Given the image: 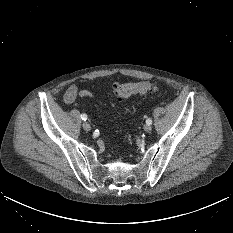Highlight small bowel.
Instances as JSON below:
<instances>
[{
    "mask_svg": "<svg viewBox=\"0 0 233 233\" xmlns=\"http://www.w3.org/2000/svg\"><path fill=\"white\" fill-rule=\"evenodd\" d=\"M90 97L92 93L89 90H80L77 85H71L64 95V100L66 103H74L78 99Z\"/></svg>",
    "mask_w": 233,
    "mask_h": 233,
    "instance_id": "c3829d8e",
    "label": "small bowel"
}]
</instances>
